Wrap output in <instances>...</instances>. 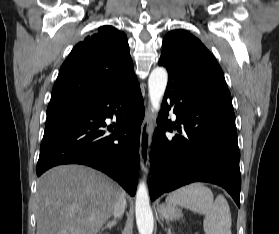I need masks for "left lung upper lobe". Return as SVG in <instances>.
<instances>
[{
	"instance_id": "1",
	"label": "left lung upper lobe",
	"mask_w": 279,
	"mask_h": 234,
	"mask_svg": "<svg viewBox=\"0 0 279 234\" xmlns=\"http://www.w3.org/2000/svg\"><path fill=\"white\" fill-rule=\"evenodd\" d=\"M160 59L187 76L227 88L214 56L188 31L169 32L163 40Z\"/></svg>"
}]
</instances>
